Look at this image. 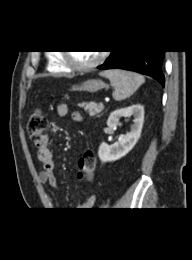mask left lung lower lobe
<instances>
[{
    "instance_id": "obj_1",
    "label": "left lung lower lobe",
    "mask_w": 192,
    "mask_h": 260,
    "mask_svg": "<svg viewBox=\"0 0 192 260\" xmlns=\"http://www.w3.org/2000/svg\"><path fill=\"white\" fill-rule=\"evenodd\" d=\"M164 51H114L98 69H125L148 75L164 86L165 77L162 72Z\"/></svg>"
}]
</instances>
